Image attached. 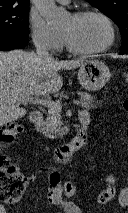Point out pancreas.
<instances>
[{
	"label": "pancreas",
	"mask_w": 128,
	"mask_h": 213,
	"mask_svg": "<svg viewBox=\"0 0 128 213\" xmlns=\"http://www.w3.org/2000/svg\"><path fill=\"white\" fill-rule=\"evenodd\" d=\"M80 96L79 104L83 108H89L92 103L93 96L86 92H78ZM61 114L59 110L49 109L45 123L43 125L44 134L53 139L57 136H64L68 133L69 128L62 126Z\"/></svg>",
	"instance_id": "1"
}]
</instances>
